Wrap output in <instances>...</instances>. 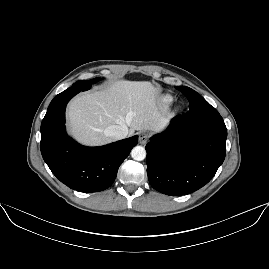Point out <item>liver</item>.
<instances>
[{
  "instance_id": "6515ba94",
  "label": "liver",
  "mask_w": 269,
  "mask_h": 269,
  "mask_svg": "<svg viewBox=\"0 0 269 269\" xmlns=\"http://www.w3.org/2000/svg\"><path fill=\"white\" fill-rule=\"evenodd\" d=\"M153 88L148 82H119L102 92L76 97L69 106V129L90 144L111 141L105 129L126 125L133 130L156 129L162 118L157 113Z\"/></svg>"
}]
</instances>
